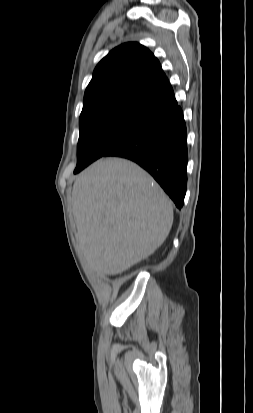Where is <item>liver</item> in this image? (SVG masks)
Wrapping results in <instances>:
<instances>
[{
	"mask_svg": "<svg viewBox=\"0 0 253 413\" xmlns=\"http://www.w3.org/2000/svg\"><path fill=\"white\" fill-rule=\"evenodd\" d=\"M77 243L88 267L116 275L146 259L167 238L172 203L155 180L122 158L100 159L72 191Z\"/></svg>",
	"mask_w": 253,
	"mask_h": 413,
	"instance_id": "liver-1",
	"label": "liver"
}]
</instances>
